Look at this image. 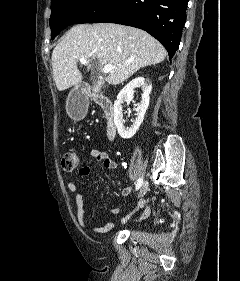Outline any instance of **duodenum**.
Masks as SVG:
<instances>
[{"instance_id":"duodenum-1","label":"duodenum","mask_w":240,"mask_h":281,"mask_svg":"<svg viewBox=\"0 0 240 281\" xmlns=\"http://www.w3.org/2000/svg\"><path fill=\"white\" fill-rule=\"evenodd\" d=\"M89 98H92L93 101L98 104L103 110L107 120L106 134L109 139H113L116 135V127L113 121L114 108L112 102L103 95L89 94L87 89L84 88L82 91V96L79 99V103L85 105Z\"/></svg>"}]
</instances>
